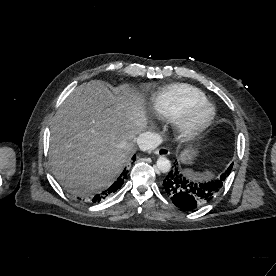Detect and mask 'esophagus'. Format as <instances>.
Returning a JSON list of instances; mask_svg holds the SVG:
<instances>
[{"mask_svg":"<svg viewBox=\"0 0 276 276\" xmlns=\"http://www.w3.org/2000/svg\"><path fill=\"white\" fill-rule=\"evenodd\" d=\"M155 154L160 156H168L170 154V151L166 147H160L154 151Z\"/></svg>","mask_w":276,"mask_h":276,"instance_id":"1","label":"esophagus"}]
</instances>
